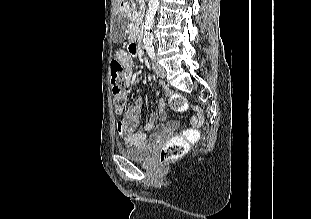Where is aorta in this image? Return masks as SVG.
<instances>
[{"label": "aorta", "mask_w": 311, "mask_h": 219, "mask_svg": "<svg viewBox=\"0 0 311 219\" xmlns=\"http://www.w3.org/2000/svg\"><path fill=\"white\" fill-rule=\"evenodd\" d=\"M159 0H149L148 9L145 16L143 47L145 49L152 48L153 35L152 29L154 24V17L158 9Z\"/></svg>", "instance_id": "aorta-1"}]
</instances>
